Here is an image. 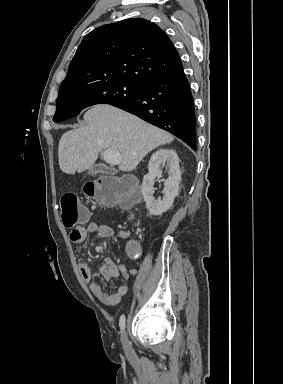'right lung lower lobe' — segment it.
Returning <instances> with one entry per match:
<instances>
[{"label":"right lung lower lobe","instance_id":"right-lung-lower-lobe-1","mask_svg":"<svg viewBox=\"0 0 283 384\" xmlns=\"http://www.w3.org/2000/svg\"><path fill=\"white\" fill-rule=\"evenodd\" d=\"M113 106L172 133L196 150L195 108L183 69L141 85L135 99Z\"/></svg>","mask_w":283,"mask_h":384}]
</instances>
